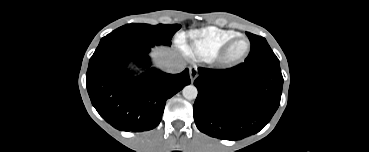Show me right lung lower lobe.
<instances>
[{"label": "right lung lower lobe", "mask_w": 369, "mask_h": 152, "mask_svg": "<svg viewBox=\"0 0 369 152\" xmlns=\"http://www.w3.org/2000/svg\"><path fill=\"white\" fill-rule=\"evenodd\" d=\"M155 44L118 37L99 43L90 58L86 86L100 116L121 131H148L160 123L166 100L190 84L189 70L167 74L149 68L134 76L130 61L148 68V52Z\"/></svg>", "instance_id": "98d812e1"}]
</instances>
